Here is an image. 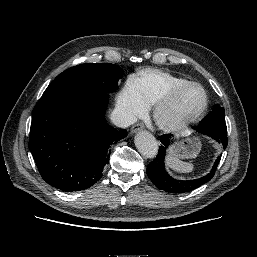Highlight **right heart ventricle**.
Wrapping results in <instances>:
<instances>
[{"mask_svg": "<svg viewBox=\"0 0 257 257\" xmlns=\"http://www.w3.org/2000/svg\"><path fill=\"white\" fill-rule=\"evenodd\" d=\"M137 87L148 106L156 105L171 89L189 80L159 69H145L135 77Z\"/></svg>", "mask_w": 257, "mask_h": 257, "instance_id": "obj_1", "label": "right heart ventricle"}]
</instances>
